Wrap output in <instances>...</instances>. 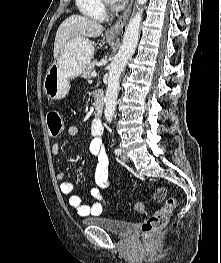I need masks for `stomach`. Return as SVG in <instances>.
<instances>
[{
    "instance_id": "stomach-1",
    "label": "stomach",
    "mask_w": 221,
    "mask_h": 263,
    "mask_svg": "<svg viewBox=\"0 0 221 263\" xmlns=\"http://www.w3.org/2000/svg\"><path fill=\"white\" fill-rule=\"evenodd\" d=\"M93 55L92 41L80 37L71 39L46 72L43 82L45 95L51 100L64 98L70 89V79L87 69Z\"/></svg>"
}]
</instances>
